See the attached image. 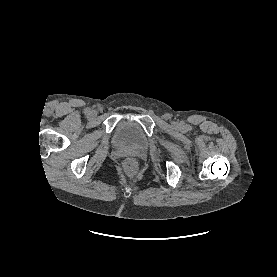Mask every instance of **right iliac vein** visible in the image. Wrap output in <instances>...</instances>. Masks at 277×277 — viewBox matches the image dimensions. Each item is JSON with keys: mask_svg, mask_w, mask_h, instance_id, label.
I'll return each mask as SVG.
<instances>
[{"mask_svg": "<svg viewBox=\"0 0 277 277\" xmlns=\"http://www.w3.org/2000/svg\"><path fill=\"white\" fill-rule=\"evenodd\" d=\"M97 115V112L95 110L91 111L89 116L90 117H95Z\"/></svg>", "mask_w": 277, "mask_h": 277, "instance_id": "1", "label": "right iliac vein"}]
</instances>
